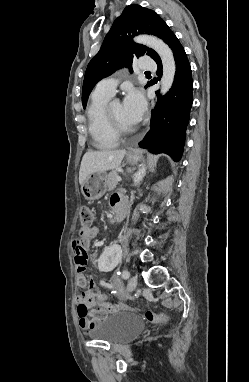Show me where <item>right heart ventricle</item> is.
Listing matches in <instances>:
<instances>
[{
  "mask_svg": "<svg viewBox=\"0 0 249 382\" xmlns=\"http://www.w3.org/2000/svg\"><path fill=\"white\" fill-rule=\"evenodd\" d=\"M110 98V95L95 90L87 108L88 130L92 143L102 150L116 147L119 141V137L110 130L105 117V108Z\"/></svg>",
  "mask_w": 249,
  "mask_h": 382,
  "instance_id": "e07e8e85",
  "label": "right heart ventricle"
}]
</instances>
